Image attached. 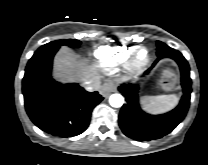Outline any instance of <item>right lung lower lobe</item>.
Wrapping results in <instances>:
<instances>
[{
  "instance_id": "right-lung-lower-lobe-1",
  "label": "right lung lower lobe",
  "mask_w": 208,
  "mask_h": 165,
  "mask_svg": "<svg viewBox=\"0 0 208 165\" xmlns=\"http://www.w3.org/2000/svg\"><path fill=\"white\" fill-rule=\"evenodd\" d=\"M58 49L32 56L25 69L22 93L31 121L46 133L66 138L86 130L93 108L103 97L76 83L61 84L52 79V61Z\"/></svg>"
}]
</instances>
